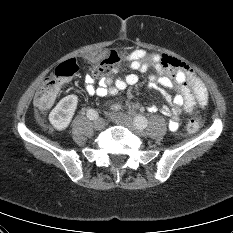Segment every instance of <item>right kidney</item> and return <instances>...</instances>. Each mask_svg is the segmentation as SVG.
Here are the masks:
<instances>
[{
	"instance_id": "obj_1",
	"label": "right kidney",
	"mask_w": 233,
	"mask_h": 233,
	"mask_svg": "<svg viewBox=\"0 0 233 233\" xmlns=\"http://www.w3.org/2000/svg\"><path fill=\"white\" fill-rule=\"evenodd\" d=\"M78 97L74 94L62 98L49 114V121L56 130L66 129L74 115Z\"/></svg>"
}]
</instances>
